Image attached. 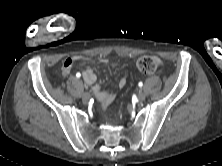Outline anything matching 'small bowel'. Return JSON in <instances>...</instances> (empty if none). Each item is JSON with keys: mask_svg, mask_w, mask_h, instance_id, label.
Wrapping results in <instances>:
<instances>
[{"mask_svg": "<svg viewBox=\"0 0 222 166\" xmlns=\"http://www.w3.org/2000/svg\"><path fill=\"white\" fill-rule=\"evenodd\" d=\"M79 60H84V61H91L90 58H87V57H84V56H73V57H69L67 58L64 63H63V66H62V73L63 75H68L70 72H71V69L73 67V64L76 62V61H79ZM100 62L102 63H106V60L105 59H100ZM82 76H83V79L85 81V83L91 87L94 95L96 96V98L101 102L102 104V107L103 108H106L108 107L112 101L114 100L115 98V95L114 93L112 92H108V91H105L103 90L97 83V77L95 75V73L93 72L92 69L90 68H86L82 71ZM126 78L125 77H122L120 80H119V83H118V86L119 88H123L125 85H126Z\"/></svg>", "mask_w": 222, "mask_h": 166, "instance_id": "c3829d8e", "label": "small bowel"}]
</instances>
